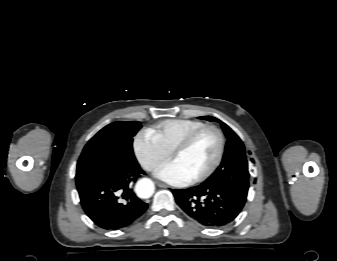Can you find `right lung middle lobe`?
I'll list each match as a JSON object with an SVG mask.
<instances>
[{"instance_id":"dd1d6c3e","label":"right lung middle lobe","mask_w":337,"mask_h":261,"mask_svg":"<svg viewBox=\"0 0 337 261\" xmlns=\"http://www.w3.org/2000/svg\"><path fill=\"white\" fill-rule=\"evenodd\" d=\"M140 128V122L119 121L101 129L88 141L80 155L76 180L108 165H137L132 143Z\"/></svg>"}]
</instances>
